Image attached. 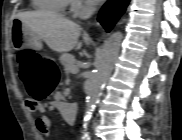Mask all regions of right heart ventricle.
Here are the masks:
<instances>
[{"instance_id": "right-heart-ventricle-1", "label": "right heart ventricle", "mask_w": 182, "mask_h": 140, "mask_svg": "<svg viewBox=\"0 0 182 140\" xmlns=\"http://www.w3.org/2000/svg\"><path fill=\"white\" fill-rule=\"evenodd\" d=\"M34 8L43 12H51L63 14L67 6L70 4L69 0H34Z\"/></svg>"}]
</instances>
